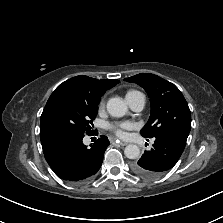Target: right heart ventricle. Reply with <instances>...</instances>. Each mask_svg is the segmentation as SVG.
<instances>
[{"instance_id":"e07e8e85","label":"right heart ventricle","mask_w":223,"mask_h":223,"mask_svg":"<svg viewBox=\"0 0 223 223\" xmlns=\"http://www.w3.org/2000/svg\"><path fill=\"white\" fill-rule=\"evenodd\" d=\"M136 93H139V92H138V91H135V90H130V91H128L127 94H126V98H127V100H128L131 96H133L134 94H136Z\"/></svg>"}]
</instances>
